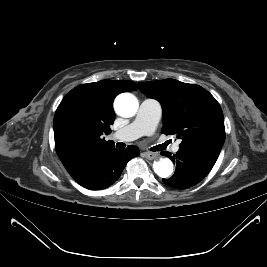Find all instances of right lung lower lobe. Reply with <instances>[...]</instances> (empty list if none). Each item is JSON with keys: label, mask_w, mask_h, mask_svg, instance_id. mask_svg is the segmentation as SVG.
<instances>
[{"label": "right lung lower lobe", "mask_w": 267, "mask_h": 267, "mask_svg": "<svg viewBox=\"0 0 267 267\" xmlns=\"http://www.w3.org/2000/svg\"><path fill=\"white\" fill-rule=\"evenodd\" d=\"M139 153L134 145L124 150L100 148L87 154L67 171L78 184L87 189H105L118 180L127 162Z\"/></svg>", "instance_id": "98d812e1"}]
</instances>
